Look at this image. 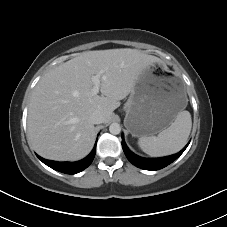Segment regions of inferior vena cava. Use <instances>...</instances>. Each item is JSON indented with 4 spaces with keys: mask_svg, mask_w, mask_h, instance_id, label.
Instances as JSON below:
<instances>
[{
    "mask_svg": "<svg viewBox=\"0 0 227 227\" xmlns=\"http://www.w3.org/2000/svg\"><path fill=\"white\" fill-rule=\"evenodd\" d=\"M90 121L93 123V124H100V123H103L104 122V115L102 112L100 111H95L91 114L90 116Z\"/></svg>",
    "mask_w": 227,
    "mask_h": 227,
    "instance_id": "inferior-vena-cava-1",
    "label": "inferior vena cava"
}]
</instances>
